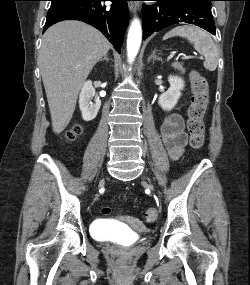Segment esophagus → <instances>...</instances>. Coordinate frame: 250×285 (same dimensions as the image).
<instances>
[{"instance_id":"34e87169","label":"esophagus","mask_w":250,"mask_h":285,"mask_svg":"<svg viewBox=\"0 0 250 285\" xmlns=\"http://www.w3.org/2000/svg\"><path fill=\"white\" fill-rule=\"evenodd\" d=\"M129 11L134 12L136 10V6L133 3H129Z\"/></svg>"}]
</instances>
